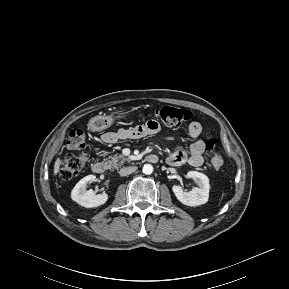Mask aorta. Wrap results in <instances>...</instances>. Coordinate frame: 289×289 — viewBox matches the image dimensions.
Instances as JSON below:
<instances>
[{
	"label": "aorta",
	"instance_id": "762f6f07",
	"mask_svg": "<svg viewBox=\"0 0 289 289\" xmlns=\"http://www.w3.org/2000/svg\"><path fill=\"white\" fill-rule=\"evenodd\" d=\"M142 171L144 174L150 175L153 172V166L151 164H145Z\"/></svg>",
	"mask_w": 289,
	"mask_h": 289
}]
</instances>
